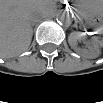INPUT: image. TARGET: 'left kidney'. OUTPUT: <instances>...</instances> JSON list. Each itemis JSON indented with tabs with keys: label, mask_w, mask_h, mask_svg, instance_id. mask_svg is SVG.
<instances>
[{
	"label": "left kidney",
	"mask_w": 103,
	"mask_h": 103,
	"mask_svg": "<svg viewBox=\"0 0 103 103\" xmlns=\"http://www.w3.org/2000/svg\"><path fill=\"white\" fill-rule=\"evenodd\" d=\"M83 35L81 33H78V32H72L70 35H69V43L71 45V47H73V49L77 52H82V53H88L87 51L85 50H82L80 48H78L76 45H77V40L79 39H82ZM91 53L92 54H97L98 53V44L97 42L95 41L93 43V47H92V50H91ZM89 54V53H88ZM90 55V54H89Z\"/></svg>",
	"instance_id": "1"
}]
</instances>
